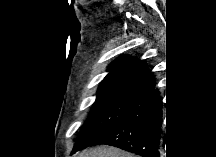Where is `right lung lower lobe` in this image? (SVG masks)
<instances>
[{"label": "right lung lower lobe", "instance_id": "1", "mask_svg": "<svg viewBox=\"0 0 216 157\" xmlns=\"http://www.w3.org/2000/svg\"><path fill=\"white\" fill-rule=\"evenodd\" d=\"M155 85L137 90L118 123L92 145L106 144L142 157H161L164 111Z\"/></svg>", "mask_w": 216, "mask_h": 157}]
</instances>
